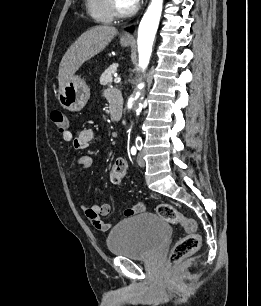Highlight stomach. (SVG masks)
Segmentation results:
<instances>
[{"mask_svg":"<svg viewBox=\"0 0 261 306\" xmlns=\"http://www.w3.org/2000/svg\"><path fill=\"white\" fill-rule=\"evenodd\" d=\"M123 47L130 45L129 41H120ZM90 97V88L79 76H73L65 86L59 88L58 100L64 109L78 112L83 109Z\"/></svg>","mask_w":261,"mask_h":306,"instance_id":"stomach-1","label":"stomach"}]
</instances>
